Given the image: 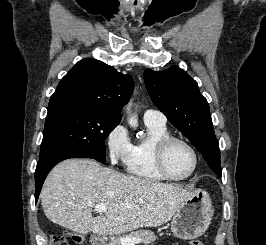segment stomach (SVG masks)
<instances>
[{
  "label": "stomach",
  "mask_w": 266,
  "mask_h": 245,
  "mask_svg": "<svg viewBox=\"0 0 266 245\" xmlns=\"http://www.w3.org/2000/svg\"><path fill=\"white\" fill-rule=\"evenodd\" d=\"M212 201L207 191L197 189L173 215L171 229L178 239H197L207 231L212 219Z\"/></svg>",
  "instance_id": "obj_1"
}]
</instances>
